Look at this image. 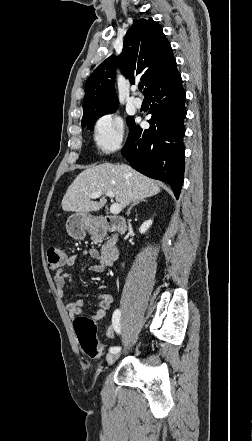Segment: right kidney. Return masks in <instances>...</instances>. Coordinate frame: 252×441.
I'll return each mask as SVG.
<instances>
[{
  "label": "right kidney",
  "mask_w": 252,
  "mask_h": 441,
  "mask_svg": "<svg viewBox=\"0 0 252 441\" xmlns=\"http://www.w3.org/2000/svg\"><path fill=\"white\" fill-rule=\"evenodd\" d=\"M152 225V220L145 221L139 228V232L144 234Z\"/></svg>",
  "instance_id": "ca27d5eb"
}]
</instances>
